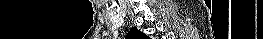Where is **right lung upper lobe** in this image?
Here are the masks:
<instances>
[{
	"mask_svg": "<svg viewBox=\"0 0 263 39\" xmlns=\"http://www.w3.org/2000/svg\"><path fill=\"white\" fill-rule=\"evenodd\" d=\"M128 35L130 36V39H148L144 33L140 32L136 28L132 29Z\"/></svg>",
	"mask_w": 263,
	"mask_h": 39,
	"instance_id": "right-lung-upper-lobe-1",
	"label": "right lung upper lobe"
}]
</instances>
